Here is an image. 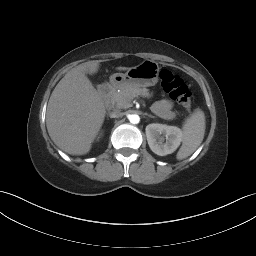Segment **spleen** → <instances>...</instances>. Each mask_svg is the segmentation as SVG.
<instances>
[{"label":"spleen","instance_id":"3e777b00","mask_svg":"<svg viewBox=\"0 0 256 256\" xmlns=\"http://www.w3.org/2000/svg\"><path fill=\"white\" fill-rule=\"evenodd\" d=\"M205 115L196 109L183 125V143L177 153V159L183 160L190 156L202 143L205 134Z\"/></svg>","mask_w":256,"mask_h":256}]
</instances>
